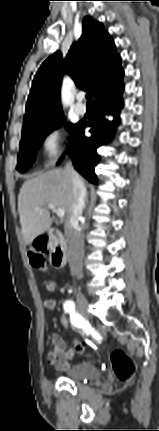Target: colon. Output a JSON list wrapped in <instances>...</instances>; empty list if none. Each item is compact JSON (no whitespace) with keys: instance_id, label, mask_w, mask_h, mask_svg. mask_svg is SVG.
Listing matches in <instances>:
<instances>
[{"instance_id":"obj_1","label":"colon","mask_w":159,"mask_h":431,"mask_svg":"<svg viewBox=\"0 0 159 431\" xmlns=\"http://www.w3.org/2000/svg\"><path fill=\"white\" fill-rule=\"evenodd\" d=\"M45 245L39 240L30 249V262L34 268L43 269L45 267ZM55 304L52 301L47 303V308L53 311ZM59 327L65 332H70L71 320L68 313H59ZM74 349L77 350L79 358H84L86 353V344L82 339L73 340ZM111 365L115 376L123 382L130 381L136 371L135 362L121 349H116L111 355Z\"/></svg>"}]
</instances>
